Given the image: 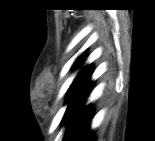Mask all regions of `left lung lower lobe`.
Masks as SVG:
<instances>
[{"mask_svg": "<svg viewBox=\"0 0 155 141\" xmlns=\"http://www.w3.org/2000/svg\"><path fill=\"white\" fill-rule=\"evenodd\" d=\"M94 87L92 82L87 89L70 106L64 119L67 122L64 141H93L94 137L89 131L90 121L93 117V109L90 105L84 106L85 102Z\"/></svg>", "mask_w": 155, "mask_h": 141, "instance_id": "left-lung-lower-lobe-1", "label": "left lung lower lobe"}]
</instances>
